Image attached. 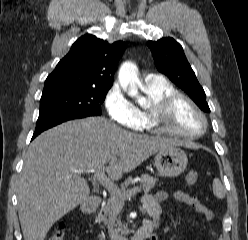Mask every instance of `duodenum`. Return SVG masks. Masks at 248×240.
<instances>
[{
    "mask_svg": "<svg viewBox=\"0 0 248 240\" xmlns=\"http://www.w3.org/2000/svg\"><path fill=\"white\" fill-rule=\"evenodd\" d=\"M100 205V199L95 196L93 198L86 199L81 204V210L85 214L94 213ZM152 226L148 221H145L138 231L131 237L125 240H149Z\"/></svg>",
    "mask_w": 248,
    "mask_h": 240,
    "instance_id": "obj_1",
    "label": "duodenum"
}]
</instances>
